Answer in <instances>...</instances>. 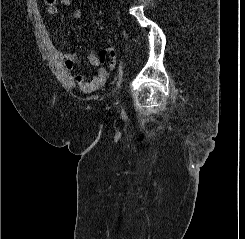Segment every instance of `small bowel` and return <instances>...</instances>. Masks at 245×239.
I'll return each mask as SVG.
<instances>
[{"label":"small bowel","instance_id":"small-bowel-1","mask_svg":"<svg viewBox=\"0 0 245 239\" xmlns=\"http://www.w3.org/2000/svg\"><path fill=\"white\" fill-rule=\"evenodd\" d=\"M45 4L50 15H55L59 6H69L71 0H45ZM71 16L73 18H79L81 11L74 9ZM58 57L60 59L63 69L71 74L74 71L75 64L77 62V55L71 52L58 51ZM88 62L91 66L98 68L97 74L87 80L82 74H75L72 78L74 83L85 93H92L100 89L109 79L111 72L116 66V54L114 49L109 48L96 53L90 51L88 55Z\"/></svg>","mask_w":245,"mask_h":239}]
</instances>
